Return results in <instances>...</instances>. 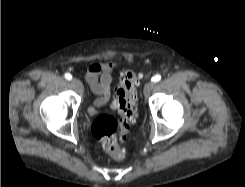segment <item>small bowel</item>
<instances>
[{
  "label": "small bowel",
  "mask_w": 245,
  "mask_h": 187,
  "mask_svg": "<svg viewBox=\"0 0 245 187\" xmlns=\"http://www.w3.org/2000/svg\"><path fill=\"white\" fill-rule=\"evenodd\" d=\"M113 66L110 63H94L88 67L87 82L95 95L93 104L89 107L88 112L94 115L98 108L108 103L111 96Z\"/></svg>",
  "instance_id": "small-bowel-1"
}]
</instances>
